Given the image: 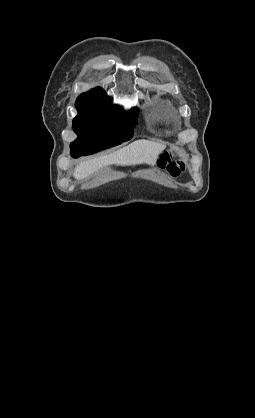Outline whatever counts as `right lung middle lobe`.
I'll return each mask as SVG.
<instances>
[{"label": "right lung middle lobe", "instance_id": "obj_1", "mask_svg": "<svg viewBox=\"0 0 255 418\" xmlns=\"http://www.w3.org/2000/svg\"><path fill=\"white\" fill-rule=\"evenodd\" d=\"M78 114L73 129L78 135L71 143L72 157L93 154L131 139L139 110L125 112L112 105L104 94L80 95L75 103Z\"/></svg>", "mask_w": 255, "mask_h": 418}]
</instances>
